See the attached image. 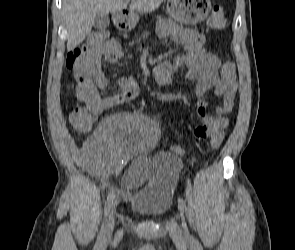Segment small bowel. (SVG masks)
Listing matches in <instances>:
<instances>
[{
    "mask_svg": "<svg viewBox=\"0 0 295 250\" xmlns=\"http://www.w3.org/2000/svg\"><path fill=\"white\" fill-rule=\"evenodd\" d=\"M157 32L161 38L170 37L184 48L183 53L172 61H162L154 67L153 74L157 83L170 85L175 73L182 68L186 69V76L195 81L194 109L201 121L194 129V136L197 139L209 138L211 146L219 148L234 107L237 90L235 80L226 81L219 76L221 61L207 50L206 38L199 31L163 20L158 24ZM123 58L124 51L115 40H109L100 47L89 48L80 58L69 54L66 64L74 72L78 100L95 106L98 113H101L135 99L138 86L130 77L120 80L118 93L105 98L100 96V91L107 86L101 68L102 61L112 64ZM211 89L221 99L215 115L207 114L202 100L203 95ZM158 134L156 125L140 112L121 113L109 118L99 126L88 144L92 172L110 185L115 164L133 158L122 177L120 194L127 197L130 190L142 185L149 177L151 161L147 153L154 148ZM171 152L181 155L183 149L173 146Z\"/></svg>",
    "mask_w": 295,
    "mask_h": 250,
    "instance_id": "small-bowel-1",
    "label": "small bowel"
}]
</instances>
